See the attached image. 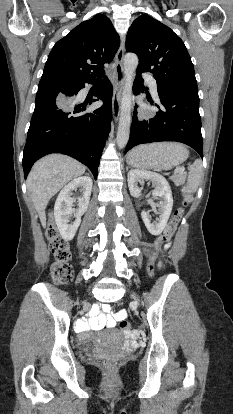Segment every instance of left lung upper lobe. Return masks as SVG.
<instances>
[{"label": "left lung upper lobe", "mask_w": 233, "mask_h": 414, "mask_svg": "<svg viewBox=\"0 0 233 414\" xmlns=\"http://www.w3.org/2000/svg\"><path fill=\"white\" fill-rule=\"evenodd\" d=\"M127 52L139 58L137 72H151L160 87H197L194 67L183 41L147 14L128 30Z\"/></svg>", "instance_id": "1"}]
</instances>
